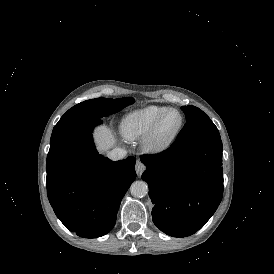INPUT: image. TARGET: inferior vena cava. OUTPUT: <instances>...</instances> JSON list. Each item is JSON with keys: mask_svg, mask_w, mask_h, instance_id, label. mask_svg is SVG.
Returning a JSON list of instances; mask_svg holds the SVG:
<instances>
[{"mask_svg": "<svg viewBox=\"0 0 274 274\" xmlns=\"http://www.w3.org/2000/svg\"><path fill=\"white\" fill-rule=\"evenodd\" d=\"M127 154V151L125 149L116 147L113 150L109 151L107 153L108 158H110L113 161H117L120 159H123Z\"/></svg>", "mask_w": 274, "mask_h": 274, "instance_id": "602c4592", "label": "inferior vena cava"}]
</instances>
